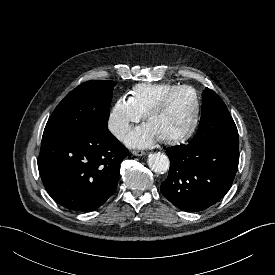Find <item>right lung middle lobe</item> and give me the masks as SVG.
<instances>
[{"label":"right lung middle lobe","mask_w":275,"mask_h":275,"mask_svg":"<svg viewBox=\"0 0 275 275\" xmlns=\"http://www.w3.org/2000/svg\"><path fill=\"white\" fill-rule=\"evenodd\" d=\"M115 82L93 80L71 91L55 108L45 136L81 135L107 128Z\"/></svg>","instance_id":"dd1d6c3e"}]
</instances>
